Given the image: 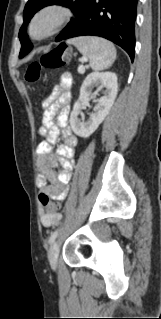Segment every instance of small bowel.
I'll return each instance as SVG.
<instances>
[{
	"mask_svg": "<svg viewBox=\"0 0 161 319\" xmlns=\"http://www.w3.org/2000/svg\"><path fill=\"white\" fill-rule=\"evenodd\" d=\"M70 77L63 73L60 76L59 84L56 85L43 101L42 126L39 134L44 138L37 146L39 163L43 167L40 174L38 185L42 192L49 194L56 201L66 199L69 192L71 181V171L74 168L71 159L75 154L78 139L68 125L70 113ZM57 118L54 121V118ZM62 136L64 143L57 147L53 152L52 145ZM62 166V171L58 176L44 165L49 164L53 167ZM61 218L58 212H42L41 223L44 227L54 226Z\"/></svg>",
	"mask_w": 161,
	"mask_h": 319,
	"instance_id": "small-bowel-1",
	"label": "small bowel"
}]
</instances>
